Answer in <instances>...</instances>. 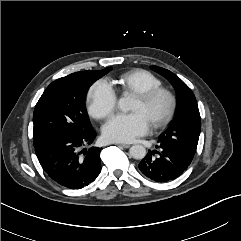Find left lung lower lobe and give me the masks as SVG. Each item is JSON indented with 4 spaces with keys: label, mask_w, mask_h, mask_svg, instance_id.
<instances>
[{
    "label": "left lung lower lobe",
    "mask_w": 241,
    "mask_h": 241,
    "mask_svg": "<svg viewBox=\"0 0 241 241\" xmlns=\"http://www.w3.org/2000/svg\"><path fill=\"white\" fill-rule=\"evenodd\" d=\"M157 150L148 151L138 167L149 179L155 182H167L182 175L191 162L186 160L172 147L158 143Z\"/></svg>",
    "instance_id": "1"
}]
</instances>
